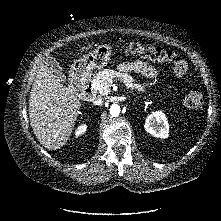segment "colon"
<instances>
[{
    "instance_id": "5ec220e1",
    "label": "colon",
    "mask_w": 221,
    "mask_h": 221,
    "mask_svg": "<svg viewBox=\"0 0 221 221\" xmlns=\"http://www.w3.org/2000/svg\"><path fill=\"white\" fill-rule=\"evenodd\" d=\"M123 55L139 54L142 57L156 62L167 63L173 73L178 76H184L188 70V64L185 59L174 52L167 51L161 48L146 47L140 43L133 41L122 47ZM203 104V96L197 89H192L185 97V105L189 108H200Z\"/></svg>"
}]
</instances>
